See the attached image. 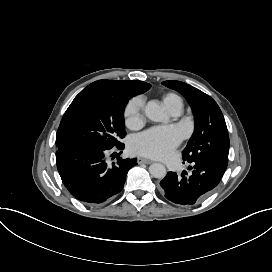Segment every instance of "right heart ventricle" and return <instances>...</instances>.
I'll list each match as a JSON object with an SVG mask.
<instances>
[{"label":"right heart ventricle","mask_w":272,"mask_h":272,"mask_svg":"<svg viewBox=\"0 0 272 272\" xmlns=\"http://www.w3.org/2000/svg\"><path fill=\"white\" fill-rule=\"evenodd\" d=\"M180 98L175 94H168L164 97V104L169 112L172 111L175 101Z\"/></svg>","instance_id":"right-heart-ventricle-1"}]
</instances>
